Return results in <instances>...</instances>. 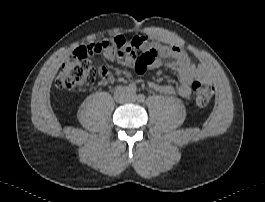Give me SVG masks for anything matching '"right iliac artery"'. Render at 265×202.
<instances>
[{"label":"right iliac artery","instance_id":"1","mask_svg":"<svg viewBox=\"0 0 265 202\" xmlns=\"http://www.w3.org/2000/svg\"><path fill=\"white\" fill-rule=\"evenodd\" d=\"M136 90H137L136 85L133 84V83H131V84H129V85L127 86V91H128L129 93H135Z\"/></svg>","mask_w":265,"mask_h":202}]
</instances>
